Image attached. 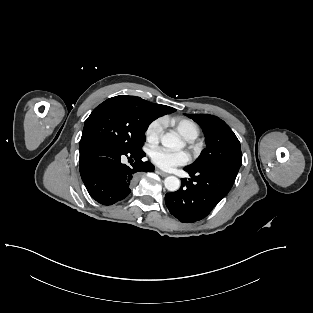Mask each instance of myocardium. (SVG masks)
<instances>
[{"label": "myocardium", "mask_w": 313, "mask_h": 313, "mask_svg": "<svg viewBox=\"0 0 313 313\" xmlns=\"http://www.w3.org/2000/svg\"><path fill=\"white\" fill-rule=\"evenodd\" d=\"M190 148L193 152H196L198 150V147L195 145H191Z\"/></svg>", "instance_id": "myocardium-1"}]
</instances>
